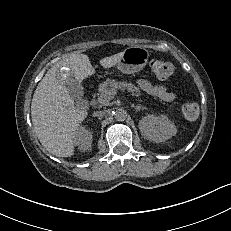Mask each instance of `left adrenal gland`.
<instances>
[{
    "label": "left adrenal gland",
    "mask_w": 231,
    "mask_h": 231,
    "mask_svg": "<svg viewBox=\"0 0 231 231\" xmlns=\"http://www.w3.org/2000/svg\"><path fill=\"white\" fill-rule=\"evenodd\" d=\"M136 111H139L140 109L144 110L146 109L144 106L138 105V106H134Z\"/></svg>",
    "instance_id": "a2214340"
}]
</instances>
